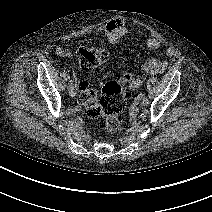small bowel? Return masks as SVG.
<instances>
[{
	"instance_id": "small-bowel-1",
	"label": "small bowel",
	"mask_w": 212,
	"mask_h": 212,
	"mask_svg": "<svg viewBox=\"0 0 212 212\" xmlns=\"http://www.w3.org/2000/svg\"><path fill=\"white\" fill-rule=\"evenodd\" d=\"M97 31L104 33L108 43L111 45H115L128 34V29L121 19H112L104 26L99 27ZM143 43L145 47L150 50H156L164 46L159 39L153 37L144 39ZM56 53L61 57L72 56L71 51L64 46H58L56 48ZM164 53L166 56L172 57L175 54V50L170 46H165ZM166 68L167 62L157 59H149L142 65V70L147 74H161L166 70ZM79 88L80 98H82L85 95L86 90L89 88L88 83L86 81L80 82Z\"/></svg>"
}]
</instances>
